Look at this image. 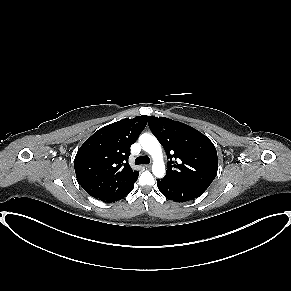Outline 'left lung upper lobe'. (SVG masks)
<instances>
[{
	"label": "left lung upper lobe",
	"mask_w": 291,
	"mask_h": 291,
	"mask_svg": "<svg viewBox=\"0 0 291 291\" xmlns=\"http://www.w3.org/2000/svg\"><path fill=\"white\" fill-rule=\"evenodd\" d=\"M148 125L170 159L166 178L206 190L217 175L214 144L198 130L164 117L148 116Z\"/></svg>",
	"instance_id": "obj_1"
}]
</instances>
